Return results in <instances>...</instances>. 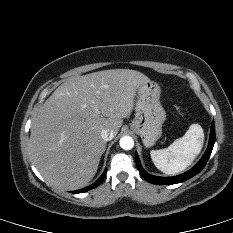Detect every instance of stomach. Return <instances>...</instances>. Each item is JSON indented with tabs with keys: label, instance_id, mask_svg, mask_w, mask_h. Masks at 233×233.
Wrapping results in <instances>:
<instances>
[{
	"label": "stomach",
	"instance_id": "obj_1",
	"mask_svg": "<svg viewBox=\"0 0 233 233\" xmlns=\"http://www.w3.org/2000/svg\"><path fill=\"white\" fill-rule=\"evenodd\" d=\"M135 118L130 124L133 132L138 134L146 147H151L162 134V124L166 113L160 103V86L154 81L142 83L137 89Z\"/></svg>",
	"mask_w": 233,
	"mask_h": 233
}]
</instances>
